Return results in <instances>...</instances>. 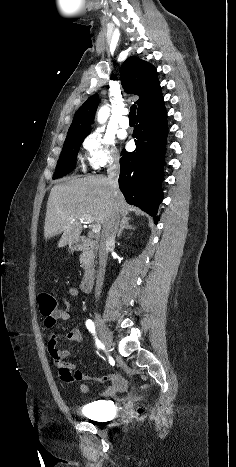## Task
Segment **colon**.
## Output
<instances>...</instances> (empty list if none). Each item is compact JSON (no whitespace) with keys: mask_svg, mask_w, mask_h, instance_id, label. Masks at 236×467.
<instances>
[{"mask_svg":"<svg viewBox=\"0 0 236 467\" xmlns=\"http://www.w3.org/2000/svg\"><path fill=\"white\" fill-rule=\"evenodd\" d=\"M37 301L40 309V313L44 316H50L55 311L58 310V301L56 298L48 293V292H41L37 296ZM144 412L143 408L138 409V414L142 415Z\"/></svg>","mask_w":236,"mask_h":467,"instance_id":"obj_1","label":"colon"}]
</instances>
